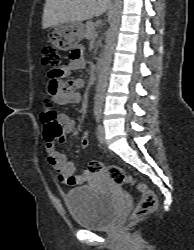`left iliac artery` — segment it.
<instances>
[{
  "instance_id": "obj_1",
  "label": "left iliac artery",
  "mask_w": 194,
  "mask_h": 250,
  "mask_svg": "<svg viewBox=\"0 0 194 250\" xmlns=\"http://www.w3.org/2000/svg\"><path fill=\"white\" fill-rule=\"evenodd\" d=\"M96 122H100V119H101V113H96Z\"/></svg>"
}]
</instances>
